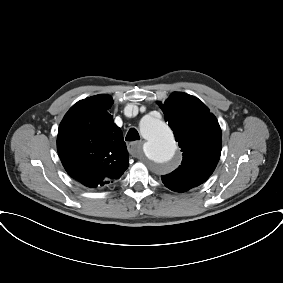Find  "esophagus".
<instances>
[{
    "mask_svg": "<svg viewBox=\"0 0 283 283\" xmlns=\"http://www.w3.org/2000/svg\"><path fill=\"white\" fill-rule=\"evenodd\" d=\"M143 142L142 141H135L128 144V151L131 155L138 157L141 153Z\"/></svg>",
    "mask_w": 283,
    "mask_h": 283,
    "instance_id": "esophagus-1",
    "label": "esophagus"
}]
</instances>
